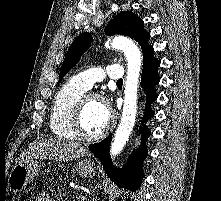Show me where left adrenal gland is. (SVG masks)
<instances>
[{"label": "left adrenal gland", "mask_w": 221, "mask_h": 201, "mask_svg": "<svg viewBox=\"0 0 221 201\" xmlns=\"http://www.w3.org/2000/svg\"><path fill=\"white\" fill-rule=\"evenodd\" d=\"M90 201H96V198L95 197H93V198H91V200Z\"/></svg>", "instance_id": "1"}]
</instances>
